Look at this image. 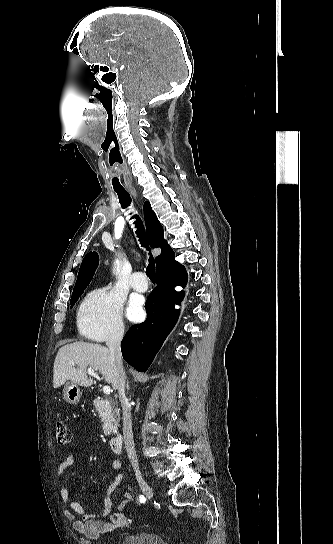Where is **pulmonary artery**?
Instances as JSON below:
<instances>
[{
  "mask_svg": "<svg viewBox=\"0 0 333 544\" xmlns=\"http://www.w3.org/2000/svg\"><path fill=\"white\" fill-rule=\"evenodd\" d=\"M131 286L138 292H145L148 289V282L142 272H135L131 277Z\"/></svg>",
  "mask_w": 333,
  "mask_h": 544,
  "instance_id": "e3ab8cb5",
  "label": "pulmonary artery"
}]
</instances>
